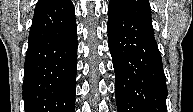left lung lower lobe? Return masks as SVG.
Masks as SVG:
<instances>
[{
	"label": "left lung lower lobe",
	"mask_w": 193,
	"mask_h": 112,
	"mask_svg": "<svg viewBox=\"0 0 193 112\" xmlns=\"http://www.w3.org/2000/svg\"><path fill=\"white\" fill-rule=\"evenodd\" d=\"M108 45L118 112H166L167 86L148 0H110Z\"/></svg>",
	"instance_id": "left-lung-lower-lobe-1"
}]
</instances>
